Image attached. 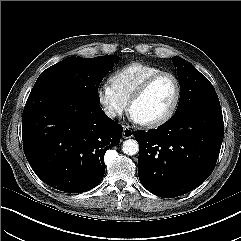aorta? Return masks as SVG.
Wrapping results in <instances>:
<instances>
[{
    "instance_id": "aorta-1",
    "label": "aorta",
    "mask_w": 241,
    "mask_h": 241,
    "mask_svg": "<svg viewBox=\"0 0 241 241\" xmlns=\"http://www.w3.org/2000/svg\"><path fill=\"white\" fill-rule=\"evenodd\" d=\"M122 151L130 156H133L139 151V144L134 139H128L123 142Z\"/></svg>"
}]
</instances>
